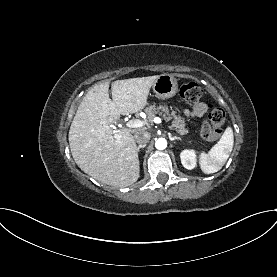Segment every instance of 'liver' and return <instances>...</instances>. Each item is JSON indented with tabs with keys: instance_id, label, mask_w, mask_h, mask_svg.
<instances>
[{
	"instance_id": "1",
	"label": "liver",
	"mask_w": 277,
	"mask_h": 277,
	"mask_svg": "<svg viewBox=\"0 0 277 277\" xmlns=\"http://www.w3.org/2000/svg\"><path fill=\"white\" fill-rule=\"evenodd\" d=\"M159 76L117 80L94 86L80 103L69 130V145L79 168L99 182L127 187L139 178L135 139L129 129L113 130L120 115L141 111Z\"/></svg>"
}]
</instances>
